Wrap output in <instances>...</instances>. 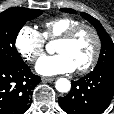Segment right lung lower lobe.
Listing matches in <instances>:
<instances>
[{"mask_svg":"<svg viewBox=\"0 0 114 114\" xmlns=\"http://www.w3.org/2000/svg\"><path fill=\"white\" fill-rule=\"evenodd\" d=\"M39 81L24 62L0 66V114L26 112L32 101V90Z\"/></svg>","mask_w":114,"mask_h":114,"instance_id":"98d812e1","label":"right lung lower lobe"}]
</instances>
